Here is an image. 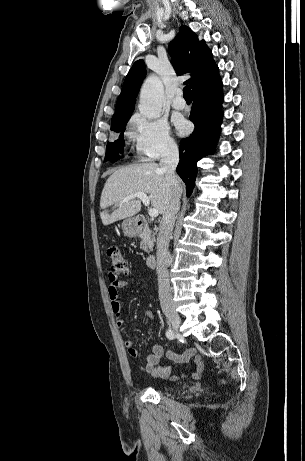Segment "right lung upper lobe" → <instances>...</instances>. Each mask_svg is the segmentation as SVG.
<instances>
[{
    "label": "right lung upper lobe",
    "mask_w": 305,
    "mask_h": 461,
    "mask_svg": "<svg viewBox=\"0 0 305 461\" xmlns=\"http://www.w3.org/2000/svg\"><path fill=\"white\" fill-rule=\"evenodd\" d=\"M168 51L172 57V64L178 73H191L192 77L185 83L190 84L192 90L218 73L212 52L205 41H199L197 35L185 25L180 27V32L169 44ZM145 76L144 61H136L127 74L121 94L117 99L112 125L131 117L137 94Z\"/></svg>",
    "instance_id": "obj_1"
}]
</instances>
